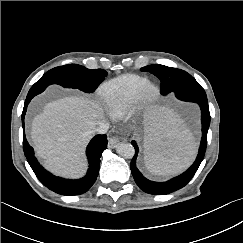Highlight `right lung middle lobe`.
<instances>
[{"label": "right lung middle lobe", "mask_w": 243, "mask_h": 243, "mask_svg": "<svg viewBox=\"0 0 243 243\" xmlns=\"http://www.w3.org/2000/svg\"><path fill=\"white\" fill-rule=\"evenodd\" d=\"M107 76L103 69H87L81 65L69 64L56 67L45 73L33 86L42 87L58 84L66 88H78L87 93L93 92Z\"/></svg>", "instance_id": "right-lung-middle-lobe-1"}]
</instances>
